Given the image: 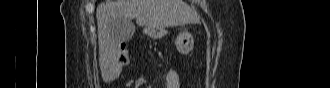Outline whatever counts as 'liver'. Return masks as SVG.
Wrapping results in <instances>:
<instances>
[{"label":"liver","instance_id":"liver-1","mask_svg":"<svg viewBox=\"0 0 330 88\" xmlns=\"http://www.w3.org/2000/svg\"><path fill=\"white\" fill-rule=\"evenodd\" d=\"M96 17L99 65L104 81L111 77L120 43L116 25L136 18V23L150 34L155 29L183 25L196 19L183 0H111L98 5Z\"/></svg>","mask_w":330,"mask_h":88}]
</instances>
